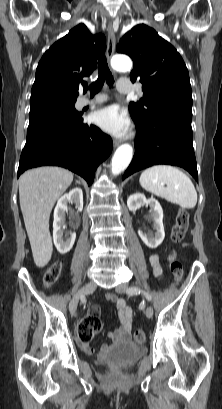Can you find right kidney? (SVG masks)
<instances>
[{
    "instance_id": "1",
    "label": "right kidney",
    "mask_w": 222,
    "mask_h": 409,
    "mask_svg": "<svg viewBox=\"0 0 222 409\" xmlns=\"http://www.w3.org/2000/svg\"><path fill=\"white\" fill-rule=\"evenodd\" d=\"M74 203L78 211L83 210V192L81 188H73L69 193L64 194L57 202L54 209V221H53V241L55 247L60 254L68 253L75 242V232H65V213L68 211L67 204Z\"/></svg>"
}]
</instances>
